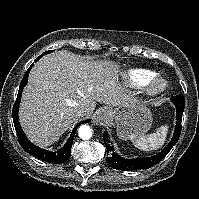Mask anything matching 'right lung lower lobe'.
<instances>
[{"mask_svg":"<svg viewBox=\"0 0 199 199\" xmlns=\"http://www.w3.org/2000/svg\"><path fill=\"white\" fill-rule=\"evenodd\" d=\"M41 56H39L35 62L41 58ZM33 64L30 66V68L26 71V73L23 76V79L21 81L20 87H19V91H18V95H17V99L14 103L13 106V110H12V116H13V122H14V126H15V130L16 133L18 135V140L20 145L22 146V148L29 154L43 160L49 163H55V164H60L63 163L65 161H67L70 158V153H71V147H72V142L74 139V135L75 132L77 130V128L82 124V123H87L90 122L91 120H85L82 121L80 123H78L72 130V133L68 139V141L66 142V144L64 145V147H62L59 151L57 152H51V151H47L44 149H41L37 146H35L34 144H32L28 138L26 137V135L24 134L19 121H18V108H19V103H20V99H21V93L23 91L24 86L27 84L28 81V75H29V71L32 68Z\"/></svg>","mask_w":199,"mask_h":199,"instance_id":"1","label":"right lung lower lobe"}]
</instances>
